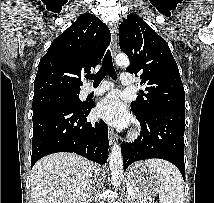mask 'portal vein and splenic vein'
Listing matches in <instances>:
<instances>
[{
    "label": "portal vein and splenic vein",
    "mask_w": 214,
    "mask_h": 203,
    "mask_svg": "<svg viewBox=\"0 0 214 203\" xmlns=\"http://www.w3.org/2000/svg\"><path fill=\"white\" fill-rule=\"evenodd\" d=\"M127 191H128V195L131 196L133 194V189L132 187H128L127 188Z\"/></svg>",
    "instance_id": "obj_1"
}]
</instances>
